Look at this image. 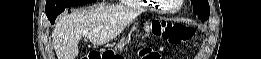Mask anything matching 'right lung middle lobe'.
<instances>
[{
    "label": "right lung middle lobe",
    "instance_id": "dd1d6c3e",
    "mask_svg": "<svg viewBox=\"0 0 261 59\" xmlns=\"http://www.w3.org/2000/svg\"><path fill=\"white\" fill-rule=\"evenodd\" d=\"M96 0H47L45 12L47 17L59 14L66 8L93 3Z\"/></svg>",
    "mask_w": 261,
    "mask_h": 59
}]
</instances>
